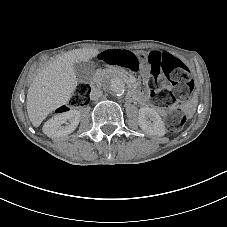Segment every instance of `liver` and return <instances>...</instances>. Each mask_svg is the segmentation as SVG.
I'll return each mask as SVG.
<instances>
[{
    "label": "liver",
    "instance_id": "6515ba94",
    "mask_svg": "<svg viewBox=\"0 0 227 227\" xmlns=\"http://www.w3.org/2000/svg\"><path fill=\"white\" fill-rule=\"evenodd\" d=\"M95 49H75L54 60L40 71L27 94V112L31 123L38 127L55 109L66 105L77 86L73 63L95 56Z\"/></svg>",
    "mask_w": 227,
    "mask_h": 227
}]
</instances>
